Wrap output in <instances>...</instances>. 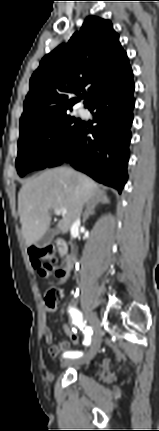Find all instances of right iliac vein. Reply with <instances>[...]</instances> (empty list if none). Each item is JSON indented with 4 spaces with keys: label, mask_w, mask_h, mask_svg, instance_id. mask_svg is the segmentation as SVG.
Masks as SVG:
<instances>
[{
    "label": "right iliac vein",
    "mask_w": 159,
    "mask_h": 431,
    "mask_svg": "<svg viewBox=\"0 0 159 431\" xmlns=\"http://www.w3.org/2000/svg\"><path fill=\"white\" fill-rule=\"evenodd\" d=\"M86 319L88 323L90 324L92 331H93V342L91 348L88 350V352L78 358V359H67L64 360L61 364V367H67L69 365H83L86 363H89L97 354L100 344H101V334H100V325L99 320L95 313H93L91 310H86Z\"/></svg>",
    "instance_id": "right-iliac-vein-1"
}]
</instances>
